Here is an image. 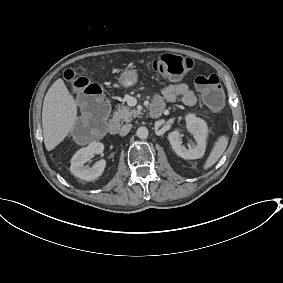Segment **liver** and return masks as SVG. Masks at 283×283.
I'll return each instance as SVG.
<instances>
[{"label":"liver","mask_w":283,"mask_h":283,"mask_svg":"<svg viewBox=\"0 0 283 283\" xmlns=\"http://www.w3.org/2000/svg\"><path fill=\"white\" fill-rule=\"evenodd\" d=\"M77 120V105L64 81L59 78L46 93L42 109L44 144L53 150L70 131Z\"/></svg>","instance_id":"6515ba94"}]
</instances>
